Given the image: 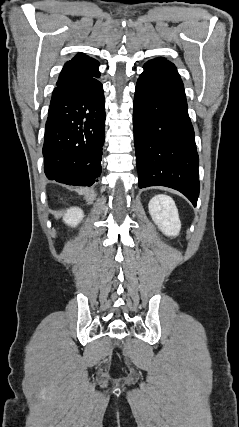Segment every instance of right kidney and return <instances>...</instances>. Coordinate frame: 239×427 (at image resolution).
<instances>
[{"label":"right kidney","instance_id":"obj_1","mask_svg":"<svg viewBox=\"0 0 239 427\" xmlns=\"http://www.w3.org/2000/svg\"><path fill=\"white\" fill-rule=\"evenodd\" d=\"M84 217V213L80 208H70L66 211V213L63 216L64 222L71 226L75 227L78 225V223L81 222V220Z\"/></svg>","mask_w":239,"mask_h":427}]
</instances>
